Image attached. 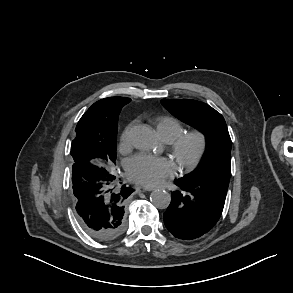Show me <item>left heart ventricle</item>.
<instances>
[{"label":"left heart ventricle","instance_id":"1","mask_svg":"<svg viewBox=\"0 0 293 293\" xmlns=\"http://www.w3.org/2000/svg\"><path fill=\"white\" fill-rule=\"evenodd\" d=\"M195 149V144L193 142H190L184 149L183 151V155L181 157V159L179 161H182V160H185L187 159L188 157L191 156V154L193 153ZM175 160V163L177 164L179 161L174 159Z\"/></svg>","mask_w":293,"mask_h":293}]
</instances>
